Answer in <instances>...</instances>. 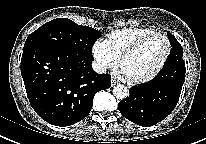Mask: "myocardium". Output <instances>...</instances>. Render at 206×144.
<instances>
[{"instance_id":"myocardium-1","label":"myocardium","mask_w":206,"mask_h":144,"mask_svg":"<svg viewBox=\"0 0 206 144\" xmlns=\"http://www.w3.org/2000/svg\"><path fill=\"white\" fill-rule=\"evenodd\" d=\"M162 38L165 41L166 44V52L165 55L162 59V61L160 62V64L158 65V67L149 75L142 77V78H129L126 77L127 80L131 83V84H135V85H139V84H146L149 83L151 81H153L154 79H156L160 73L163 71V69L165 68L170 54H171V49H172V45H171V41L169 40V38L163 34V33H153L150 35H147L141 39H139L138 41H136L135 43H133L132 45H130L129 47H127L119 56L118 61H119V66L122 69V65L123 62L130 57L131 55H133L135 52H137L143 45H145L148 41H150L153 38Z\"/></svg>"}]
</instances>
